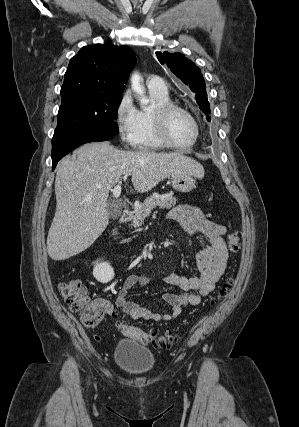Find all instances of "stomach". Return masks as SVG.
<instances>
[{
    "instance_id": "1",
    "label": "stomach",
    "mask_w": 299,
    "mask_h": 427,
    "mask_svg": "<svg viewBox=\"0 0 299 427\" xmlns=\"http://www.w3.org/2000/svg\"><path fill=\"white\" fill-rule=\"evenodd\" d=\"M172 187L182 193H188L195 188L194 176L189 173H178L171 175Z\"/></svg>"
}]
</instances>
